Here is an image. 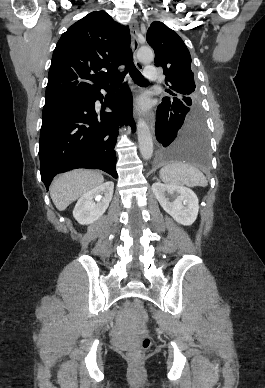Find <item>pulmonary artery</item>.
I'll list each match as a JSON object with an SVG mask.
<instances>
[{
	"mask_svg": "<svg viewBox=\"0 0 265 388\" xmlns=\"http://www.w3.org/2000/svg\"><path fill=\"white\" fill-rule=\"evenodd\" d=\"M147 72H142V79H155L153 76H157V64H148ZM153 77V78H152Z\"/></svg>",
	"mask_w": 265,
	"mask_h": 388,
	"instance_id": "obj_1",
	"label": "pulmonary artery"
}]
</instances>
